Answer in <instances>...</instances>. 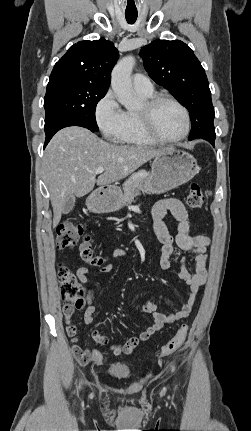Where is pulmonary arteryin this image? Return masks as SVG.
I'll list each match as a JSON object with an SVG mask.
<instances>
[{
  "label": "pulmonary artery",
  "mask_w": 251,
  "mask_h": 431,
  "mask_svg": "<svg viewBox=\"0 0 251 431\" xmlns=\"http://www.w3.org/2000/svg\"><path fill=\"white\" fill-rule=\"evenodd\" d=\"M133 87L140 93L153 92V85L148 77L143 74L136 73L133 76Z\"/></svg>",
  "instance_id": "obj_1"
}]
</instances>
